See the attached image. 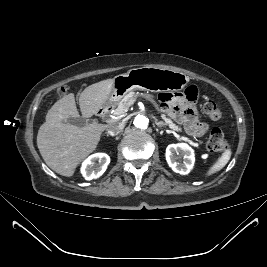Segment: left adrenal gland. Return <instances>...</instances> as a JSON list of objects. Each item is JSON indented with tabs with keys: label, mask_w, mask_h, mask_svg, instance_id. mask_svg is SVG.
Returning a JSON list of instances; mask_svg holds the SVG:
<instances>
[{
	"label": "left adrenal gland",
	"mask_w": 267,
	"mask_h": 267,
	"mask_svg": "<svg viewBox=\"0 0 267 267\" xmlns=\"http://www.w3.org/2000/svg\"><path fill=\"white\" fill-rule=\"evenodd\" d=\"M155 124L158 126V127H165L166 126V124L164 123V122H162V121H158V120H155Z\"/></svg>",
	"instance_id": "obj_1"
}]
</instances>
